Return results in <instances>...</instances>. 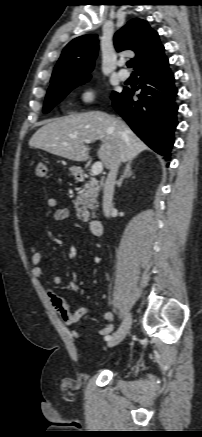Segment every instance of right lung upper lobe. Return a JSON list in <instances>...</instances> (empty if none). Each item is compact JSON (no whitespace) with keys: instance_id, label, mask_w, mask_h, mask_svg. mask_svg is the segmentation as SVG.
I'll list each match as a JSON object with an SVG mask.
<instances>
[{"instance_id":"right-lung-upper-lobe-1","label":"right lung upper lobe","mask_w":202,"mask_h":437,"mask_svg":"<svg viewBox=\"0 0 202 437\" xmlns=\"http://www.w3.org/2000/svg\"><path fill=\"white\" fill-rule=\"evenodd\" d=\"M118 52L132 50L134 69L147 65L164 55L158 33L142 19L134 18L114 36ZM97 35H83L72 40L63 50L51 77V85L80 76H88L98 53Z\"/></svg>"}]
</instances>
